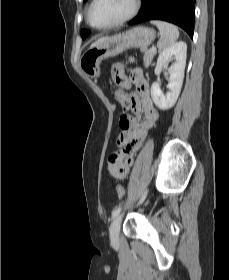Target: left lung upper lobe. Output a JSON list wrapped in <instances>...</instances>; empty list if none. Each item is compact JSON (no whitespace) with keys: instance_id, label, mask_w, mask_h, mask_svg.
Segmentation results:
<instances>
[{"instance_id":"1","label":"left lung upper lobe","mask_w":229,"mask_h":280,"mask_svg":"<svg viewBox=\"0 0 229 280\" xmlns=\"http://www.w3.org/2000/svg\"><path fill=\"white\" fill-rule=\"evenodd\" d=\"M83 1L86 2L87 0H83ZM89 33H90V31L82 30V31H81V37H82L83 39H85L86 36L89 35Z\"/></svg>"}]
</instances>
